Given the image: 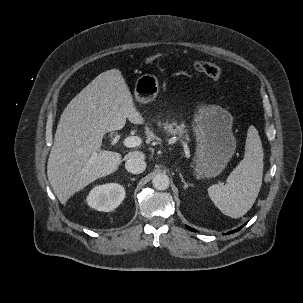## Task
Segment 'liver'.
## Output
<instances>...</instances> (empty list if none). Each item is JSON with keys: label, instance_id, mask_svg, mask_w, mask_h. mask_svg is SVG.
I'll return each mask as SVG.
<instances>
[{"label": "liver", "instance_id": "liver-1", "mask_svg": "<svg viewBox=\"0 0 303 303\" xmlns=\"http://www.w3.org/2000/svg\"><path fill=\"white\" fill-rule=\"evenodd\" d=\"M126 119L144 123L119 69L99 74L66 106L47 164L48 180L63 205L85 186L118 169L121 154L100 148L103 136L122 129ZM133 157L144 158V154L131 151L124 159Z\"/></svg>", "mask_w": 303, "mask_h": 303}]
</instances>
